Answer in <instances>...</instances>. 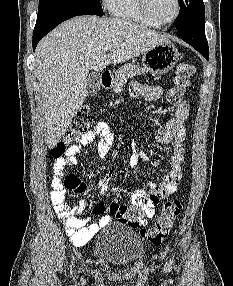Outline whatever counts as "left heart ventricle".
<instances>
[{
  "instance_id": "obj_1",
  "label": "left heart ventricle",
  "mask_w": 233,
  "mask_h": 286,
  "mask_svg": "<svg viewBox=\"0 0 233 286\" xmlns=\"http://www.w3.org/2000/svg\"><path fill=\"white\" fill-rule=\"evenodd\" d=\"M149 9L154 20L169 21L176 13L175 0H149Z\"/></svg>"
}]
</instances>
